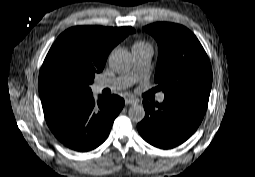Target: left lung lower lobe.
Masks as SVG:
<instances>
[{
    "mask_svg": "<svg viewBox=\"0 0 255 177\" xmlns=\"http://www.w3.org/2000/svg\"><path fill=\"white\" fill-rule=\"evenodd\" d=\"M145 118L137 125L142 138L151 145L170 149L187 140L198 128L208 99L164 98L163 103L143 101Z\"/></svg>",
    "mask_w": 255,
    "mask_h": 177,
    "instance_id": "0a47b994",
    "label": "left lung lower lobe"
}]
</instances>
